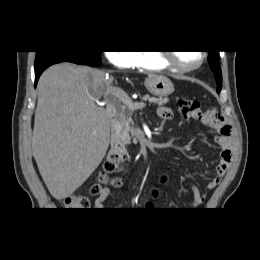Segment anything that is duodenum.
Instances as JSON below:
<instances>
[{
  "instance_id": "1",
  "label": "duodenum",
  "mask_w": 260,
  "mask_h": 260,
  "mask_svg": "<svg viewBox=\"0 0 260 260\" xmlns=\"http://www.w3.org/2000/svg\"><path fill=\"white\" fill-rule=\"evenodd\" d=\"M107 114L111 126V137H110L111 151L117 154L126 155L127 150L125 146L121 143L116 132V126H115L116 112L112 107H108Z\"/></svg>"
}]
</instances>
